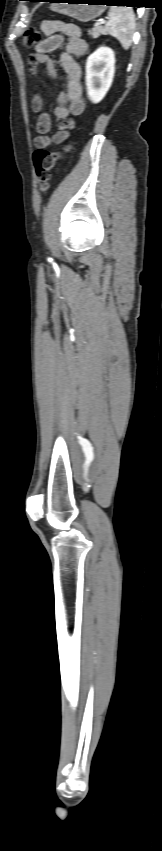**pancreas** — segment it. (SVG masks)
Listing matches in <instances>:
<instances>
[{
  "mask_svg": "<svg viewBox=\"0 0 162 851\" xmlns=\"http://www.w3.org/2000/svg\"><path fill=\"white\" fill-rule=\"evenodd\" d=\"M88 34L92 36L94 39L98 38L100 35H106L105 28L99 26L94 27L92 30L88 31Z\"/></svg>",
  "mask_w": 162,
  "mask_h": 851,
  "instance_id": "pancreas-1",
  "label": "pancreas"
}]
</instances>
